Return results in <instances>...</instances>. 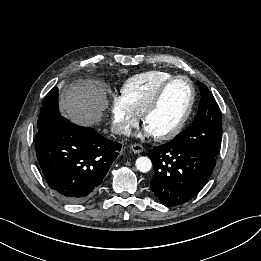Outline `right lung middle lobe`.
I'll list each match as a JSON object with an SVG mask.
<instances>
[{
  "instance_id": "right-lung-middle-lobe-1",
  "label": "right lung middle lobe",
  "mask_w": 261,
  "mask_h": 261,
  "mask_svg": "<svg viewBox=\"0 0 261 261\" xmlns=\"http://www.w3.org/2000/svg\"><path fill=\"white\" fill-rule=\"evenodd\" d=\"M58 109V88H53L44 98L38 118V132H41L60 118Z\"/></svg>"
}]
</instances>
